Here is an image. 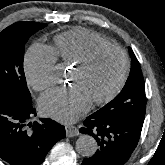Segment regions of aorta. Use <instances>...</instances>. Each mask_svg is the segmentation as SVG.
I'll use <instances>...</instances> for the list:
<instances>
[{
  "label": "aorta",
  "instance_id": "obj_1",
  "mask_svg": "<svg viewBox=\"0 0 165 165\" xmlns=\"http://www.w3.org/2000/svg\"><path fill=\"white\" fill-rule=\"evenodd\" d=\"M76 151L84 156L91 157L97 150V142L94 137L90 135H81L76 141Z\"/></svg>",
  "mask_w": 165,
  "mask_h": 165
}]
</instances>
